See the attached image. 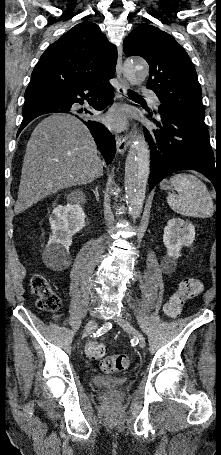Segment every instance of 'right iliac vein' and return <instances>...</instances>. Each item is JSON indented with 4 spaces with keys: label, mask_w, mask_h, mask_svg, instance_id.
Wrapping results in <instances>:
<instances>
[{
    "label": "right iliac vein",
    "mask_w": 221,
    "mask_h": 455,
    "mask_svg": "<svg viewBox=\"0 0 221 455\" xmlns=\"http://www.w3.org/2000/svg\"><path fill=\"white\" fill-rule=\"evenodd\" d=\"M97 328V322L95 320H90L84 330H83V335L86 336L87 334L91 333L94 329Z\"/></svg>",
    "instance_id": "right-iliac-vein-1"
}]
</instances>
